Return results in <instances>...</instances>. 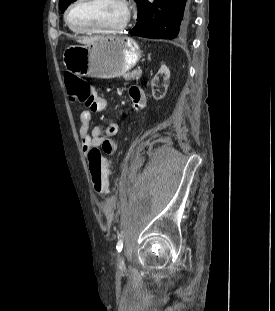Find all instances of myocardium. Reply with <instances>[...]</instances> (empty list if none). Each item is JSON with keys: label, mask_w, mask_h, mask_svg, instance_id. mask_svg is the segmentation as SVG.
<instances>
[{"label": "myocardium", "mask_w": 275, "mask_h": 311, "mask_svg": "<svg viewBox=\"0 0 275 311\" xmlns=\"http://www.w3.org/2000/svg\"><path fill=\"white\" fill-rule=\"evenodd\" d=\"M82 0H74L66 9L65 15H64V19L65 22L67 24V26L74 32H78V33H89V34H116V33H120L122 32L129 24L130 20H131V15H132V11H131V7L130 4L127 0H119V2L123 5L124 9H125V17L123 22L113 28H104V29H90V28H81V27H75L70 23L69 20V15L71 10Z\"/></svg>", "instance_id": "1"}]
</instances>
